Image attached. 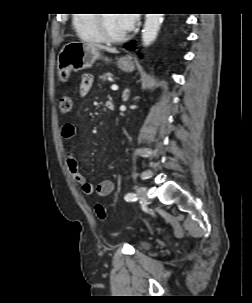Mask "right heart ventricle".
<instances>
[{"label": "right heart ventricle", "instance_id": "1", "mask_svg": "<svg viewBox=\"0 0 252 303\" xmlns=\"http://www.w3.org/2000/svg\"><path fill=\"white\" fill-rule=\"evenodd\" d=\"M73 23L82 38L93 42L104 41L98 25L97 14H78Z\"/></svg>", "mask_w": 252, "mask_h": 303}]
</instances>
